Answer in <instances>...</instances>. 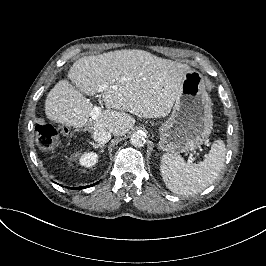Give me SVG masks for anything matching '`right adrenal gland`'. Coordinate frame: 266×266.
<instances>
[{"label":"right adrenal gland","mask_w":266,"mask_h":266,"mask_svg":"<svg viewBox=\"0 0 266 266\" xmlns=\"http://www.w3.org/2000/svg\"><path fill=\"white\" fill-rule=\"evenodd\" d=\"M89 144L92 145L94 148H99V149H101V150H99L100 153L103 152V149H104V147H105L104 144L99 145V144H95L94 142H89Z\"/></svg>","instance_id":"1"}]
</instances>
